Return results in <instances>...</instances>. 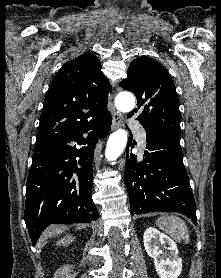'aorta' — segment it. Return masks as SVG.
I'll return each instance as SVG.
<instances>
[{
    "mask_svg": "<svg viewBox=\"0 0 221 278\" xmlns=\"http://www.w3.org/2000/svg\"><path fill=\"white\" fill-rule=\"evenodd\" d=\"M115 106L121 112H129L135 106V98L130 93H121L115 99ZM128 140L127 131L118 129L113 132L107 142L105 157L109 161L117 159L123 152Z\"/></svg>",
    "mask_w": 221,
    "mask_h": 278,
    "instance_id": "762f6f07",
    "label": "aorta"
}]
</instances>
